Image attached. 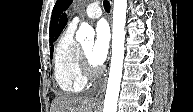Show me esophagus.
<instances>
[{
	"label": "esophagus",
	"mask_w": 193,
	"mask_h": 112,
	"mask_svg": "<svg viewBox=\"0 0 193 112\" xmlns=\"http://www.w3.org/2000/svg\"><path fill=\"white\" fill-rule=\"evenodd\" d=\"M105 87H106V79H105L104 83L102 84V87L96 96V99L98 101L102 100L104 92H105Z\"/></svg>",
	"instance_id": "1"
}]
</instances>
